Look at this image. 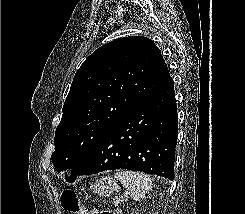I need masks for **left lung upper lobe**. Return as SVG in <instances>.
Here are the masks:
<instances>
[{
    "instance_id": "5c2ea615",
    "label": "left lung upper lobe",
    "mask_w": 245,
    "mask_h": 214,
    "mask_svg": "<svg viewBox=\"0 0 245 214\" xmlns=\"http://www.w3.org/2000/svg\"><path fill=\"white\" fill-rule=\"evenodd\" d=\"M170 77L159 48L123 37L91 54L75 74L57 126L51 160L72 170L134 106Z\"/></svg>"
}]
</instances>
